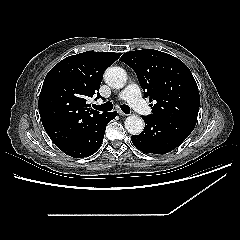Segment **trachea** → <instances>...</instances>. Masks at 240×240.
Segmentation results:
<instances>
[{"instance_id": "obj_1", "label": "trachea", "mask_w": 240, "mask_h": 240, "mask_svg": "<svg viewBox=\"0 0 240 240\" xmlns=\"http://www.w3.org/2000/svg\"><path fill=\"white\" fill-rule=\"evenodd\" d=\"M93 108H95L96 110H99V111H103V112H107V111H111L112 108H113V105L111 102H107V103H104L100 106L98 105H93ZM121 110L126 113V114H129L130 113V107L128 105H122L121 106Z\"/></svg>"}]
</instances>
